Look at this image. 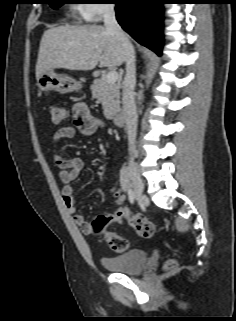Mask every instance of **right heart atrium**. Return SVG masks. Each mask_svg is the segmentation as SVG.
<instances>
[{"mask_svg": "<svg viewBox=\"0 0 236 321\" xmlns=\"http://www.w3.org/2000/svg\"><path fill=\"white\" fill-rule=\"evenodd\" d=\"M88 2L82 6L81 11V16L86 21L98 22L114 10L111 0H88Z\"/></svg>", "mask_w": 236, "mask_h": 321, "instance_id": "d8ad5b80", "label": "right heart atrium"}]
</instances>
